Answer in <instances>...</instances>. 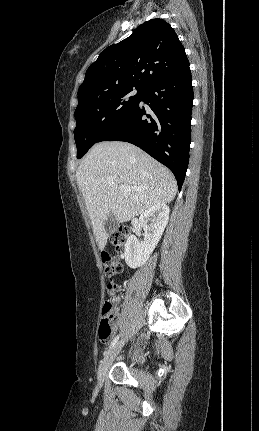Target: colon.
I'll return each mask as SVG.
<instances>
[{
  "label": "colon",
  "mask_w": 259,
  "mask_h": 431,
  "mask_svg": "<svg viewBox=\"0 0 259 431\" xmlns=\"http://www.w3.org/2000/svg\"><path fill=\"white\" fill-rule=\"evenodd\" d=\"M129 233L127 227H121L111 235V242L116 252L121 253L124 251ZM101 260L105 276L108 279V292L110 295H113L118 289L114 279L122 273V264L118 256L112 255L107 251L101 253ZM117 323L118 317L115 310V302L114 300H106L102 307V319L98 328L99 339L102 342H108Z\"/></svg>",
  "instance_id": "colon-1"
}]
</instances>
